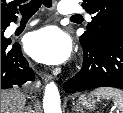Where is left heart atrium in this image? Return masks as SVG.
Here are the masks:
<instances>
[{"mask_svg": "<svg viewBox=\"0 0 123 113\" xmlns=\"http://www.w3.org/2000/svg\"><path fill=\"white\" fill-rule=\"evenodd\" d=\"M25 49L36 61L56 65L69 58L72 43L58 27L47 26L28 35Z\"/></svg>", "mask_w": 123, "mask_h": 113, "instance_id": "39dd6f15", "label": "left heart atrium"}]
</instances>
